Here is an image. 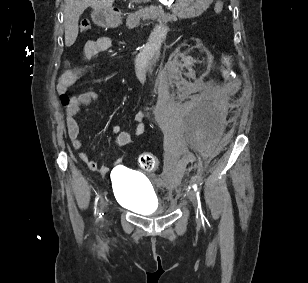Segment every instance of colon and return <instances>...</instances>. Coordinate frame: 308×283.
Here are the masks:
<instances>
[{"instance_id": "1", "label": "colon", "mask_w": 308, "mask_h": 283, "mask_svg": "<svg viewBox=\"0 0 308 283\" xmlns=\"http://www.w3.org/2000/svg\"><path fill=\"white\" fill-rule=\"evenodd\" d=\"M224 9V3L221 0H218L215 3L214 11L216 13H221ZM91 28L90 22L88 20H82L80 23V29L82 32H86ZM233 65V56L229 53L225 54L221 61L220 73L223 78H228L232 71ZM61 101L64 105L68 106L71 98L65 94H61ZM139 165L145 171H152L158 166V159L152 153H142L139 156Z\"/></svg>"}]
</instances>
